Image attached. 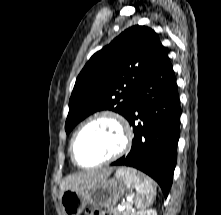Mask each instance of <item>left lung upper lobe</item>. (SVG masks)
I'll list each match as a JSON object with an SVG mask.
<instances>
[{"label":"left lung upper lobe","mask_w":221,"mask_h":215,"mask_svg":"<svg viewBox=\"0 0 221 215\" xmlns=\"http://www.w3.org/2000/svg\"><path fill=\"white\" fill-rule=\"evenodd\" d=\"M161 47L154 30L135 25L96 52L76 79L66 133L99 110H112L126 118L129 104Z\"/></svg>","instance_id":"obj_1"}]
</instances>
